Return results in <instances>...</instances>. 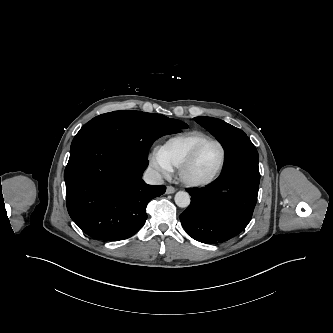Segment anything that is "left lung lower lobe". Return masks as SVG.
I'll list each match as a JSON object with an SVG mask.
<instances>
[{
    "label": "left lung lower lobe",
    "mask_w": 333,
    "mask_h": 333,
    "mask_svg": "<svg viewBox=\"0 0 333 333\" xmlns=\"http://www.w3.org/2000/svg\"><path fill=\"white\" fill-rule=\"evenodd\" d=\"M224 150V171L209 185L188 189L191 203L180 214L185 231L207 244L222 243L241 233L257 202L260 173L255 146L244 135Z\"/></svg>",
    "instance_id": "1"
}]
</instances>
